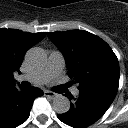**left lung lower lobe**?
<instances>
[{
  "label": "left lung lower lobe",
  "mask_w": 128,
  "mask_h": 128,
  "mask_svg": "<svg viewBox=\"0 0 128 128\" xmlns=\"http://www.w3.org/2000/svg\"><path fill=\"white\" fill-rule=\"evenodd\" d=\"M116 93L117 91L102 88L80 90L79 97L71 103L70 110L58 114V118L74 128H85L95 123L106 112Z\"/></svg>",
  "instance_id": "obj_1"
}]
</instances>
